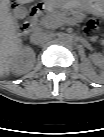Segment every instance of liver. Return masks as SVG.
Returning a JSON list of instances; mask_svg holds the SVG:
<instances>
[{
  "mask_svg": "<svg viewBox=\"0 0 104 137\" xmlns=\"http://www.w3.org/2000/svg\"><path fill=\"white\" fill-rule=\"evenodd\" d=\"M33 1L35 0H16L18 4H26ZM59 1L72 2V0ZM0 10V74L4 76L10 68L11 59L20 50L21 40L16 22L9 12L8 0H1Z\"/></svg>",
  "mask_w": 104,
  "mask_h": 137,
  "instance_id": "liver-1",
  "label": "liver"
}]
</instances>
